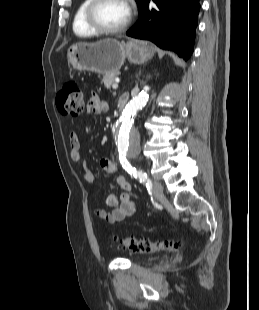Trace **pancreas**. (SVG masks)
<instances>
[{
	"mask_svg": "<svg viewBox=\"0 0 259 310\" xmlns=\"http://www.w3.org/2000/svg\"><path fill=\"white\" fill-rule=\"evenodd\" d=\"M118 75V73H105L102 82L104 83L105 87L110 89L111 85H113L115 81V77Z\"/></svg>",
	"mask_w": 259,
	"mask_h": 310,
	"instance_id": "cf45deb5",
	"label": "pancreas"
}]
</instances>
